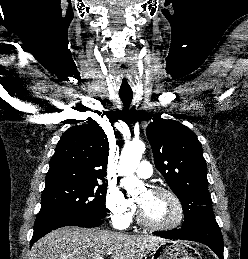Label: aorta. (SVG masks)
<instances>
[{
  "instance_id": "1",
  "label": "aorta",
  "mask_w": 248,
  "mask_h": 259,
  "mask_svg": "<svg viewBox=\"0 0 248 259\" xmlns=\"http://www.w3.org/2000/svg\"><path fill=\"white\" fill-rule=\"evenodd\" d=\"M144 151V142L138 140L125 145L120 155L118 172L120 176H124L122 184L128 194L132 196L144 186L142 181L134 175Z\"/></svg>"
}]
</instances>
